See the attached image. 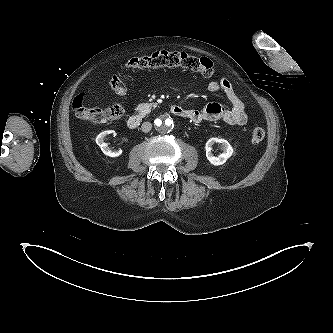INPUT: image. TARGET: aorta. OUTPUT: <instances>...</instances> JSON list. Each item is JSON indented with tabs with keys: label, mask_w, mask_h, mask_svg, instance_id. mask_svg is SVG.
<instances>
[{
	"label": "aorta",
	"mask_w": 333,
	"mask_h": 333,
	"mask_svg": "<svg viewBox=\"0 0 333 333\" xmlns=\"http://www.w3.org/2000/svg\"><path fill=\"white\" fill-rule=\"evenodd\" d=\"M172 127V120L169 117H162L156 121V128L161 133L168 132Z\"/></svg>",
	"instance_id": "1"
}]
</instances>
